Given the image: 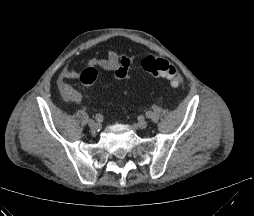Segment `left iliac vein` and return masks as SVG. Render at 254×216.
<instances>
[{"label":"left iliac vein","mask_w":254,"mask_h":216,"mask_svg":"<svg viewBox=\"0 0 254 216\" xmlns=\"http://www.w3.org/2000/svg\"><path fill=\"white\" fill-rule=\"evenodd\" d=\"M148 123L145 120H141L137 123V127L140 129H145L147 127Z\"/></svg>","instance_id":"left-iliac-vein-1"}]
</instances>
